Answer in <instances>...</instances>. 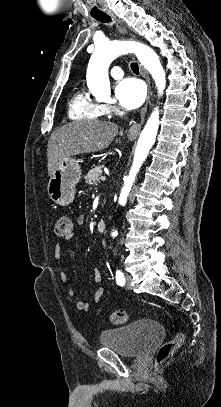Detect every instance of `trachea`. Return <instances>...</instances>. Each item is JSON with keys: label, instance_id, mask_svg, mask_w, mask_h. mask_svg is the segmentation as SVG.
Instances as JSON below:
<instances>
[{"label": "trachea", "instance_id": "obj_1", "mask_svg": "<svg viewBox=\"0 0 221 407\" xmlns=\"http://www.w3.org/2000/svg\"><path fill=\"white\" fill-rule=\"evenodd\" d=\"M94 18H95L96 20L102 22V23H109V22H111V18H110L107 14H105V13L96 15V16H94ZM131 69H132V71H133L134 73L139 74L138 63H135V62L132 63V64H131Z\"/></svg>", "mask_w": 221, "mask_h": 407}]
</instances>
